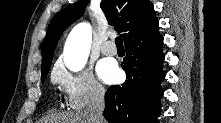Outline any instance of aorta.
I'll return each instance as SVG.
<instances>
[{
  "label": "aorta",
  "instance_id": "1",
  "mask_svg": "<svg viewBox=\"0 0 221 123\" xmlns=\"http://www.w3.org/2000/svg\"><path fill=\"white\" fill-rule=\"evenodd\" d=\"M92 42V29L89 23L77 24L68 35L64 46V63L74 72L86 64Z\"/></svg>",
  "mask_w": 221,
  "mask_h": 123
}]
</instances>
